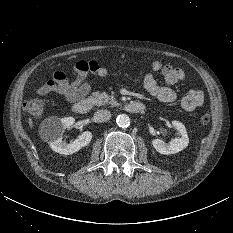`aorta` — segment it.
<instances>
[{
    "mask_svg": "<svg viewBox=\"0 0 233 233\" xmlns=\"http://www.w3.org/2000/svg\"><path fill=\"white\" fill-rule=\"evenodd\" d=\"M116 123L121 128H127L130 125V118L126 114H120L116 118Z\"/></svg>",
    "mask_w": 233,
    "mask_h": 233,
    "instance_id": "obj_1",
    "label": "aorta"
}]
</instances>
